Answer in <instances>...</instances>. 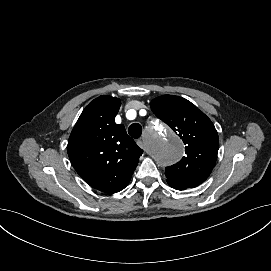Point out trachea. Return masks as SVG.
Wrapping results in <instances>:
<instances>
[{"instance_id": "trachea-1", "label": "trachea", "mask_w": 271, "mask_h": 271, "mask_svg": "<svg viewBox=\"0 0 271 271\" xmlns=\"http://www.w3.org/2000/svg\"><path fill=\"white\" fill-rule=\"evenodd\" d=\"M128 133L132 138L138 139L139 137H141L142 134L141 125L139 123L131 124L128 128Z\"/></svg>"}]
</instances>
